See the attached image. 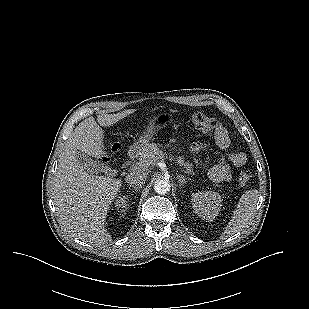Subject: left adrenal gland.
Listing matches in <instances>:
<instances>
[{"label":"left adrenal gland","instance_id":"left-adrenal-gland-1","mask_svg":"<svg viewBox=\"0 0 309 309\" xmlns=\"http://www.w3.org/2000/svg\"><path fill=\"white\" fill-rule=\"evenodd\" d=\"M177 179L180 183V186L184 185L188 180H190V179L184 178L183 176H180V175L177 176Z\"/></svg>","mask_w":309,"mask_h":309}]
</instances>
